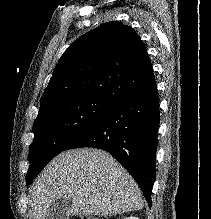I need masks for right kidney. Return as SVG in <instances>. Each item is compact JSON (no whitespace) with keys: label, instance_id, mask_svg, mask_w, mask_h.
Here are the masks:
<instances>
[{"label":"right kidney","instance_id":"ca27d5eb","mask_svg":"<svg viewBox=\"0 0 211 219\" xmlns=\"http://www.w3.org/2000/svg\"><path fill=\"white\" fill-rule=\"evenodd\" d=\"M124 219H139V218L131 216V217L124 218Z\"/></svg>","mask_w":211,"mask_h":219}]
</instances>
